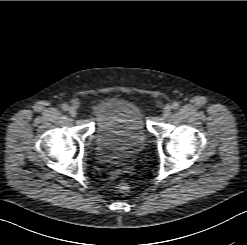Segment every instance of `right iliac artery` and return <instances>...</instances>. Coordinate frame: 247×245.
<instances>
[{"instance_id":"82829eb1","label":"right iliac artery","mask_w":247,"mask_h":245,"mask_svg":"<svg viewBox=\"0 0 247 245\" xmlns=\"http://www.w3.org/2000/svg\"><path fill=\"white\" fill-rule=\"evenodd\" d=\"M62 109H63L64 111H67V110L69 109V106H68L67 104H63V105H62Z\"/></svg>"}]
</instances>
